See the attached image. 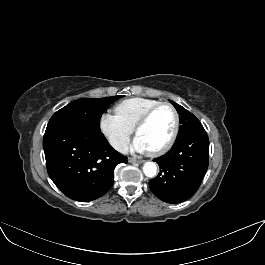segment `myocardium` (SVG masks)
<instances>
[{
	"label": "myocardium",
	"mask_w": 265,
	"mask_h": 265,
	"mask_svg": "<svg viewBox=\"0 0 265 265\" xmlns=\"http://www.w3.org/2000/svg\"><path fill=\"white\" fill-rule=\"evenodd\" d=\"M162 108H169L174 116V127L172 130L171 135L169 136L168 140L161 145L160 147L156 148V149H152L149 150V153L152 155H158L161 153H164L165 151H167L175 142L178 133H179V129H180V117H179V113L176 110V108L169 104V103H159L155 106H153L152 108H150L149 110H147L141 117L140 119L137 121V123L134 126V132L137 135L138 131L144 126L146 125L149 120L151 119V117L160 109Z\"/></svg>",
	"instance_id": "myocardium-1"
}]
</instances>
